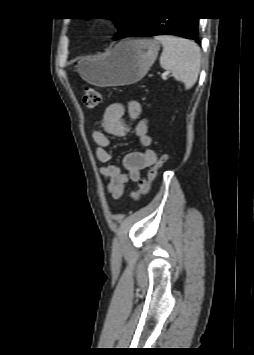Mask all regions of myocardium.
Returning a JSON list of instances; mask_svg holds the SVG:
<instances>
[{
  "label": "myocardium",
  "mask_w": 254,
  "mask_h": 355,
  "mask_svg": "<svg viewBox=\"0 0 254 355\" xmlns=\"http://www.w3.org/2000/svg\"><path fill=\"white\" fill-rule=\"evenodd\" d=\"M106 26L105 21L102 20H96L94 23V27L97 29H103Z\"/></svg>",
  "instance_id": "myocardium-1"
}]
</instances>
